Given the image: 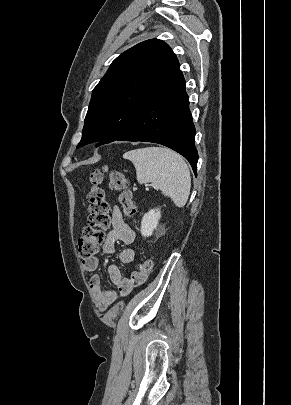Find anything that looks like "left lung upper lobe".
Listing matches in <instances>:
<instances>
[{
  "label": "left lung upper lobe",
  "instance_id": "obj_1",
  "mask_svg": "<svg viewBox=\"0 0 291 405\" xmlns=\"http://www.w3.org/2000/svg\"><path fill=\"white\" fill-rule=\"evenodd\" d=\"M177 59L163 41L141 42L118 56L93 89L79 146L119 139L150 88Z\"/></svg>",
  "mask_w": 291,
  "mask_h": 405
}]
</instances>
